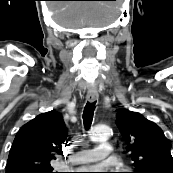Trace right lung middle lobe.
I'll use <instances>...</instances> for the list:
<instances>
[{
    "label": "right lung middle lobe",
    "instance_id": "dd1d6c3e",
    "mask_svg": "<svg viewBox=\"0 0 173 173\" xmlns=\"http://www.w3.org/2000/svg\"><path fill=\"white\" fill-rule=\"evenodd\" d=\"M52 170H53L52 168H48V169L32 171V173H53Z\"/></svg>",
    "mask_w": 173,
    "mask_h": 173
}]
</instances>
